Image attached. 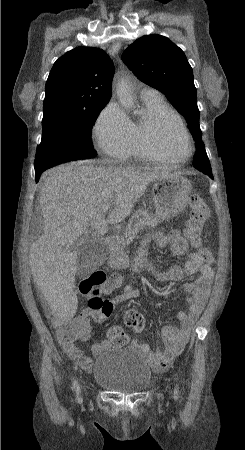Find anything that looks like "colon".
Wrapping results in <instances>:
<instances>
[{
	"label": "colon",
	"mask_w": 245,
	"mask_h": 450,
	"mask_svg": "<svg viewBox=\"0 0 245 450\" xmlns=\"http://www.w3.org/2000/svg\"><path fill=\"white\" fill-rule=\"evenodd\" d=\"M188 207L190 215L183 230L184 236L192 247L198 249L201 260L205 263H211L213 261L212 254L209 249L202 247L201 243L203 224L210 213L209 207L197 193H192L189 196ZM120 280L121 278L117 275L108 276L102 270H91L83 278L80 288L84 293L92 295L90 302L92 309L108 311L106 301L98 295L111 293ZM123 319L124 323L134 333H140L146 324L143 315L134 308L127 309ZM51 324L57 330L59 337L65 342L82 339L88 333L86 324L81 321H61L55 318L51 321ZM108 335L114 345H124L130 340V337L118 327L111 329Z\"/></svg>",
	"instance_id": "5ec220e1"
}]
</instances>
